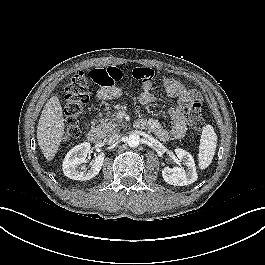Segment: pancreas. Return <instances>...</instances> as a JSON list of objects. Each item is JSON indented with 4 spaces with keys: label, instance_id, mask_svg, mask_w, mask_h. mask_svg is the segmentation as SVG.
Instances as JSON below:
<instances>
[{
    "label": "pancreas",
    "instance_id": "obj_1",
    "mask_svg": "<svg viewBox=\"0 0 265 265\" xmlns=\"http://www.w3.org/2000/svg\"><path fill=\"white\" fill-rule=\"evenodd\" d=\"M97 128L100 130L102 136H108L111 133H118L122 128V121L118 120L114 115H107L99 120Z\"/></svg>",
    "mask_w": 265,
    "mask_h": 265
}]
</instances>
